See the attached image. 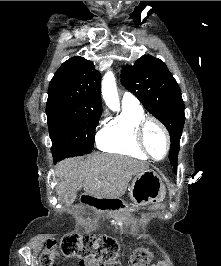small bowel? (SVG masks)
Instances as JSON below:
<instances>
[{
    "instance_id": "c3829d8e",
    "label": "small bowel",
    "mask_w": 221,
    "mask_h": 266,
    "mask_svg": "<svg viewBox=\"0 0 221 266\" xmlns=\"http://www.w3.org/2000/svg\"><path fill=\"white\" fill-rule=\"evenodd\" d=\"M50 266H60V264L53 263V264H50ZM79 266H100V265L98 262H95V261H86V262H81ZM151 266H166V263L160 260L156 264H153Z\"/></svg>"
}]
</instances>
